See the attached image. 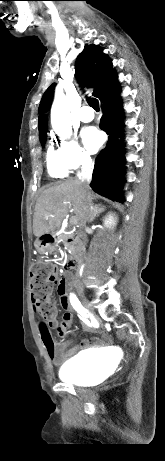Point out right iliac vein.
I'll return each instance as SVG.
<instances>
[{
	"instance_id": "obj_1",
	"label": "right iliac vein",
	"mask_w": 165,
	"mask_h": 461,
	"mask_svg": "<svg viewBox=\"0 0 165 461\" xmlns=\"http://www.w3.org/2000/svg\"><path fill=\"white\" fill-rule=\"evenodd\" d=\"M78 293H79L81 302H82V304L84 305V307L87 309V311L89 312L90 315H92L93 317H95L96 314H95L94 308H93L92 305L89 303V301H88V299L86 298L84 292H83L82 290H79Z\"/></svg>"
}]
</instances>
